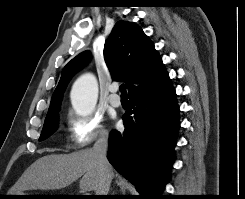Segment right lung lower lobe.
Returning <instances> with one entry per match:
<instances>
[{"instance_id": "obj_1", "label": "right lung lower lobe", "mask_w": 245, "mask_h": 199, "mask_svg": "<svg viewBox=\"0 0 245 199\" xmlns=\"http://www.w3.org/2000/svg\"><path fill=\"white\" fill-rule=\"evenodd\" d=\"M125 131H112L107 158L141 196L155 199L173 163L179 107L168 78L154 89L129 95Z\"/></svg>"}]
</instances>
